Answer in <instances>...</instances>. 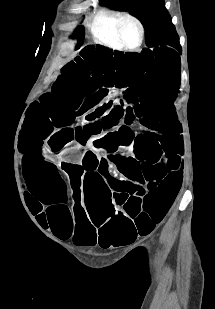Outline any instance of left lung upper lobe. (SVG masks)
Instances as JSON below:
<instances>
[{"label":"left lung upper lobe","instance_id":"obj_1","mask_svg":"<svg viewBox=\"0 0 215 309\" xmlns=\"http://www.w3.org/2000/svg\"><path fill=\"white\" fill-rule=\"evenodd\" d=\"M135 14L145 28L146 45L179 47V37L165 8L164 0H102Z\"/></svg>","mask_w":215,"mask_h":309}]
</instances>
